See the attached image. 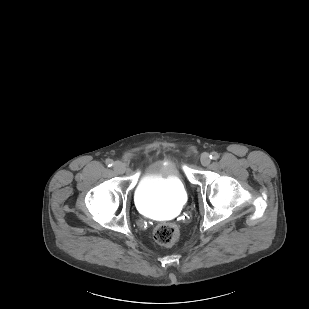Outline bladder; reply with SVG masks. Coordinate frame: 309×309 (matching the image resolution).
I'll return each mask as SVG.
<instances>
[{"label": "bladder", "instance_id": "31cf9c89", "mask_svg": "<svg viewBox=\"0 0 309 309\" xmlns=\"http://www.w3.org/2000/svg\"><path fill=\"white\" fill-rule=\"evenodd\" d=\"M187 198L186 186L174 161L156 159L144 167L135 191L136 206L142 213L171 216L185 206Z\"/></svg>", "mask_w": 309, "mask_h": 309}]
</instances>
